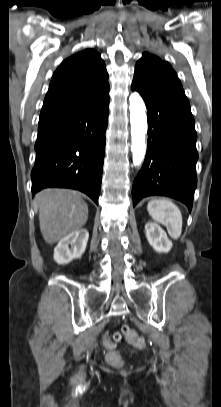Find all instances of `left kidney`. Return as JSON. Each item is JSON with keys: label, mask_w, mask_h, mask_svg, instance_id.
Here are the masks:
<instances>
[{"label": "left kidney", "mask_w": 221, "mask_h": 407, "mask_svg": "<svg viewBox=\"0 0 221 407\" xmlns=\"http://www.w3.org/2000/svg\"><path fill=\"white\" fill-rule=\"evenodd\" d=\"M146 238L156 252L167 253L172 248V241L166 232L156 223L148 222L145 225Z\"/></svg>", "instance_id": "obj_1"}]
</instances>
